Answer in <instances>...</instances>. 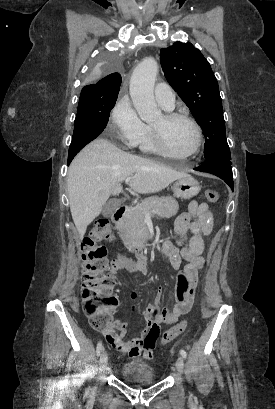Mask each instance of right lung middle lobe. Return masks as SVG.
I'll return each mask as SVG.
<instances>
[{"label": "right lung middle lobe", "mask_w": 275, "mask_h": 409, "mask_svg": "<svg viewBox=\"0 0 275 409\" xmlns=\"http://www.w3.org/2000/svg\"><path fill=\"white\" fill-rule=\"evenodd\" d=\"M92 60L84 85H99L105 73H120L122 58L115 57L114 50H98ZM117 98H89L80 96L74 125L72 142L69 147L68 165L74 156L89 142L102 133L109 120Z\"/></svg>", "instance_id": "1"}]
</instances>
